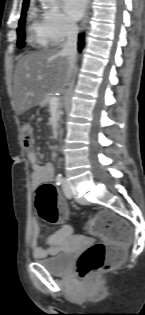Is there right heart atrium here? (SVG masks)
<instances>
[{
	"mask_svg": "<svg viewBox=\"0 0 145 315\" xmlns=\"http://www.w3.org/2000/svg\"><path fill=\"white\" fill-rule=\"evenodd\" d=\"M45 27L55 43H60L75 35L77 26L61 11L47 10L42 15Z\"/></svg>",
	"mask_w": 145,
	"mask_h": 315,
	"instance_id": "obj_1",
	"label": "right heart atrium"
}]
</instances>
